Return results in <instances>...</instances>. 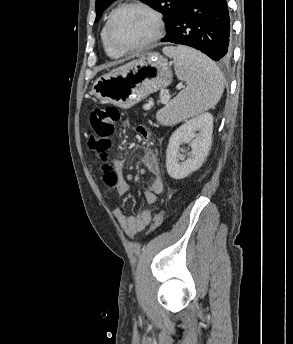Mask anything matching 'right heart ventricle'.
<instances>
[{
  "instance_id": "1",
  "label": "right heart ventricle",
  "mask_w": 293,
  "mask_h": 344,
  "mask_svg": "<svg viewBox=\"0 0 293 344\" xmlns=\"http://www.w3.org/2000/svg\"><path fill=\"white\" fill-rule=\"evenodd\" d=\"M106 23L103 25V28L101 30V40H102V44H103V48L105 50V53L107 54L108 57H110L111 59H119L123 56V54L116 52L115 50H113L110 45L107 42L106 39Z\"/></svg>"
}]
</instances>
